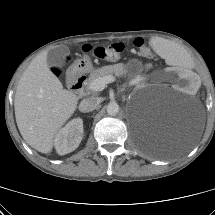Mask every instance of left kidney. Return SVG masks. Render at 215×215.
<instances>
[{"label":"left kidney","mask_w":215,"mask_h":215,"mask_svg":"<svg viewBox=\"0 0 215 215\" xmlns=\"http://www.w3.org/2000/svg\"><path fill=\"white\" fill-rule=\"evenodd\" d=\"M167 76L177 90H186L190 94L199 92L200 78L192 72L175 67L169 70Z\"/></svg>","instance_id":"1"}]
</instances>
